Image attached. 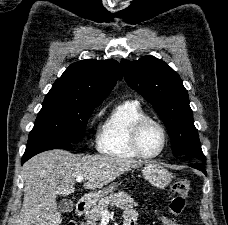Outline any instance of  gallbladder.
I'll return each mask as SVG.
<instances>
[{
  "mask_svg": "<svg viewBox=\"0 0 228 225\" xmlns=\"http://www.w3.org/2000/svg\"><path fill=\"white\" fill-rule=\"evenodd\" d=\"M73 201L71 199H62L58 205L60 213H71L73 211Z\"/></svg>",
  "mask_w": 228,
  "mask_h": 225,
  "instance_id": "1",
  "label": "gallbladder"
}]
</instances>
